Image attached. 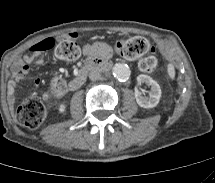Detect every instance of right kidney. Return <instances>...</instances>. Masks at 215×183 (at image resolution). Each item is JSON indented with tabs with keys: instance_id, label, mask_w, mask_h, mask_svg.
I'll list each match as a JSON object with an SVG mask.
<instances>
[{
	"instance_id": "1",
	"label": "right kidney",
	"mask_w": 215,
	"mask_h": 183,
	"mask_svg": "<svg viewBox=\"0 0 215 183\" xmlns=\"http://www.w3.org/2000/svg\"><path fill=\"white\" fill-rule=\"evenodd\" d=\"M65 109H66V105L65 104H60L58 106L59 113H63L65 111Z\"/></svg>"
}]
</instances>
